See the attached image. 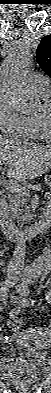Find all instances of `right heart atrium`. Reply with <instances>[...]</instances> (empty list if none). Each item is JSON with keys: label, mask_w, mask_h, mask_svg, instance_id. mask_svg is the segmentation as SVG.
<instances>
[{"label": "right heart atrium", "mask_w": 51, "mask_h": 393, "mask_svg": "<svg viewBox=\"0 0 51 393\" xmlns=\"http://www.w3.org/2000/svg\"><path fill=\"white\" fill-rule=\"evenodd\" d=\"M0 131L11 137L24 138V116L4 98L0 99Z\"/></svg>", "instance_id": "d8ad5b80"}]
</instances>
